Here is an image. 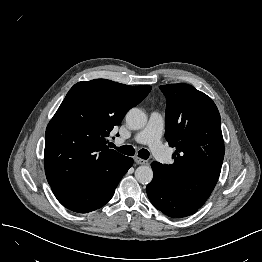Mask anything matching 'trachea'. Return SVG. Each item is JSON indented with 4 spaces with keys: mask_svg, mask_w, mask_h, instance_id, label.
I'll use <instances>...</instances> for the list:
<instances>
[{
    "mask_svg": "<svg viewBox=\"0 0 262 262\" xmlns=\"http://www.w3.org/2000/svg\"><path fill=\"white\" fill-rule=\"evenodd\" d=\"M111 147L115 148L117 151L125 155L133 156L135 154V149L130 145L116 147L114 144L111 143ZM149 154H150L149 151L146 149H141L138 152L139 157L142 159H148Z\"/></svg>",
    "mask_w": 262,
    "mask_h": 262,
    "instance_id": "trachea-1",
    "label": "trachea"
}]
</instances>
